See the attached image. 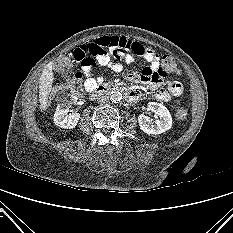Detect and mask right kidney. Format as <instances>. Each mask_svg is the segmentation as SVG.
Masks as SVG:
<instances>
[{
  "mask_svg": "<svg viewBox=\"0 0 233 233\" xmlns=\"http://www.w3.org/2000/svg\"><path fill=\"white\" fill-rule=\"evenodd\" d=\"M77 97L72 96L67 103H62L57 106L56 112L54 114V123L55 125L64 128V129H72L74 128L79 119L80 114L77 112L69 113V107L71 104H76Z\"/></svg>",
  "mask_w": 233,
  "mask_h": 233,
  "instance_id": "obj_1",
  "label": "right kidney"
}]
</instances>
